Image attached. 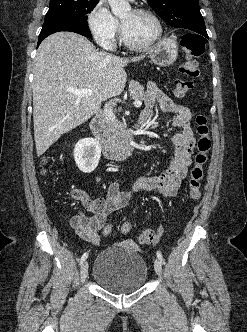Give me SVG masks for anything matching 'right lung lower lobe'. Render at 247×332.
<instances>
[{
    "label": "right lung lower lobe",
    "instance_id": "1",
    "mask_svg": "<svg viewBox=\"0 0 247 332\" xmlns=\"http://www.w3.org/2000/svg\"><path fill=\"white\" fill-rule=\"evenodd\" d=\"M60 31H70L92 38L88 24L71 19H50L45 20L38 37V46L47 36Z\"/></svg>",
    "mask_w": 247,
    "mask_h": 332
}]
</instances>
